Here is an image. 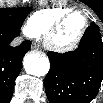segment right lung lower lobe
<instances>
[{
	"label": "right lung lower lobe",
	"mask_w": 103,
	"mask_h": 103,
	"mask_svg": "<svg viewBox=\"0 0 103 103\" xmlns=\"http://www.w3.org/2000/svg\"><path fill=\"white\" fill-rule=\"evenodd\" d=\"M19 34L18 30L0 27V102H8L11 99L22 59L31 47L29 40L12 47L10 42Z\"/></svg>",
	"instance_id": "1"
}]
</instances>
